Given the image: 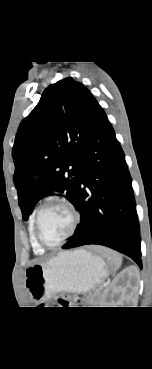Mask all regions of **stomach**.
I'll return each mask as SVG.
<instances>
[{"label":"stomach","mask_w":152,"mask_h":369,"mask_svg":"<svg viewBox=\"0 0 152 369\" xmlns=\"http://www.w3.org/2000/svg\"><path fill=\"white\" fill-rule=\"evenodd\" d=\"M109 274L105 262L84 250L65 251L25 272V286L36 301L57 292L88 293Z\"/></svg>","instance_id":"stomach-1"}]
</instances>
